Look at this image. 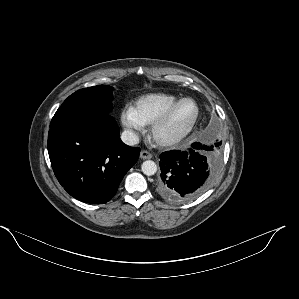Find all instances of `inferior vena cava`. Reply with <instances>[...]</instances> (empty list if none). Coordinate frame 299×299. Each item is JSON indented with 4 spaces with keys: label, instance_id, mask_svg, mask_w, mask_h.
<instances>
[{
    "label": "inferior vena cava",
    "instance_id": "602c4592",
    "mask_svg": "<svg viewBox=\"0 0 299 299\" xmlns=\"http://www.w3.org/2000/svg\"><path fill=\"white\" fill-rule=\"evenodd\" d=\"M121 140L123 141V143L129 146H133L139 143L138 135L135 132L129 130H125L122 132Z\"/></svg>",
    "mask_w": 299,
    "mask_h": 299
}]
</instances>
